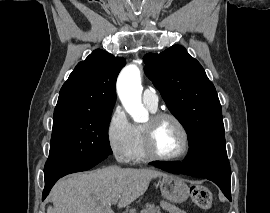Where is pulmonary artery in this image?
I'll use <instances>...</instances> for the list:
<instances>
[{
  "label": "pulmonary artery",
  "mask_w": 270,
  "mask_h": 213,
  "mask_svg": "<svg viewBox=\"0 0 270 213\" xmlns=\"http://www.w3.org/2000/svg\"><path fill=\"white\" fill-rule=\"evenodd\" d=\"M142 99L145 105L149 106L152 109H157L158 97L154 90L145 89L142 95Z\"/></svg>",
  "instance_id": "obj_1"
}]
</instances>
